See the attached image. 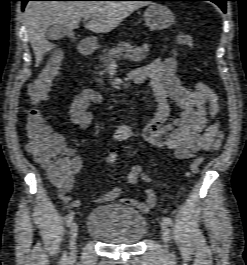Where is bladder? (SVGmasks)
<instances>
[{
  "mask_svg": "<svg viewBox=\"0 0 247 265\" xmlns=\"http://www.w3.org/2000/svg\"><path fill=\"white\" fill-rule=\"evenodd\" d=\"M86 230L106 244L134 245L146 234V220L131 207L109 203L89 213Z\"/></svg>",
  "mask_w": 247,
  "mask_h": 265,
  "instance_id": "bladder-1",
  "label": "bladder"
}]
</instances>
